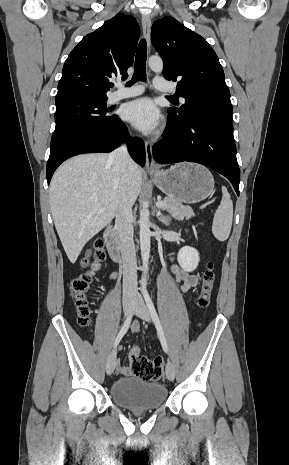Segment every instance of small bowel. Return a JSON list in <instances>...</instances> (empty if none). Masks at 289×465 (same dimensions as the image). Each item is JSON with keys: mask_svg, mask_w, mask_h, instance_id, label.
Here are the masks:
<instances>
[{"mask_svg": "<svg viewBox=\"0 0 289 465\" xmlns=\"http://www.w3.org/2000/svg\"><path fill=\"white\" fill-rule=\"evenodd\" d=\"M172 271L175 275L177 283L180 285L182 291H187L193 287H195L198 283V277L195 274L189 273L181 268L178 264L172 265ZM112 278L115 277V274H112ZM132 330L134 332L139 331V323L135 321L132 324ZM117 371L124 376H128L131 374L130 368L126 366H122L119 363L117 364Z\"/></svg>", "mask_w": 289, "mask_h": 465, "instance_id": "1", "label": "small bowel"}]
</instances>
